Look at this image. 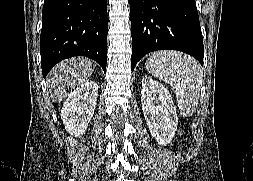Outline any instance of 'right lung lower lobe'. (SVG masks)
Here are the masks:
<instances>
[{
  "label": "right lung lower lobe",
  "instance_id": "98d812e1",
  "mask_svg": "<svg viewBox=\"0 0 253 181\" xmlns=\"http://www.w3.org/2000/svg\"><path fill=\"white\" fill-rule=\"evenodd\" d=\"M107 0H45L40 54L43 76L73 56L95 60L106 72Z\"/></svg>",
  "mask_w": 253,
  "mask_h": 181
}]
</instances>
